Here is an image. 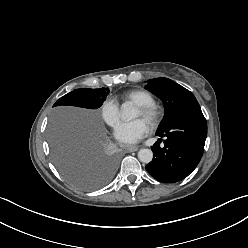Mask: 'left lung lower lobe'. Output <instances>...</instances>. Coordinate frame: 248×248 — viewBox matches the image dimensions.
Listing matches in <instances>:
<instances>
[{"label":"left lung lower lobe","instance_id":"1","mask_svg":"<svg viewBox=\"0 0 248 248\" xmlns=\"http://www.w3.org/2000/svg\"><path fill=\"white\" fill-rule=\"evenodd\" d=\"M156 135L160 139L151 147L154 156L146 165L147 172L164 183L186 178L198 165L207 136V122L199 104L185 109Z\"/></svg>","mask_w":248,"mask_h":248}]
</instances>
